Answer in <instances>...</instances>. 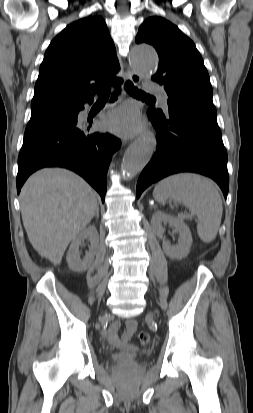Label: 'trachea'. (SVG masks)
<instances>
[{
	"label": "trachea",
	"instance_id": "trachea-1",
	"mask_svg": "<svg viewBox=\"0 0 253 413\" xmlns=\"http://www.w3.org/2000/svg\"><path fill=\"white\" fill-rule=\"evenodd\" d=\"M124 89L133 96H140V97H147V98H154L143 91L139 90L137 87L133 85L132 82L127 81L124 85ZM110 94V88L108 86L104 87L98 92L99 99H107Z\"/></svg>",
	"mask_w": 253,
	"mask_h": 413
}]
</instances>
